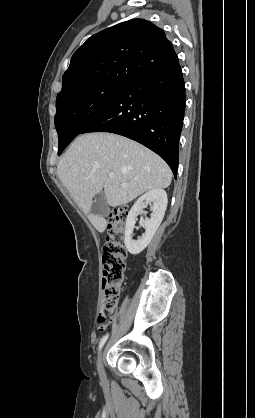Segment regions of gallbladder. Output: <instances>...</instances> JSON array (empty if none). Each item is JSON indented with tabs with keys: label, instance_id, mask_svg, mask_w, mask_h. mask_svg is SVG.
<instances>
[{
	"label": "gallbladder",
	"instance_id": "bac80fb5",
	"mask_svg": "<svg viewBox=\"0 0 255 418\" xmlns=\"http://www.w3.org/2000/svg\"><path fill=\"white\" fill-rule=\"evenodd\" d=\"M108 212V203L104 191L102 190L95 195L93 204L91 206V213L93 215L105 216Z\"/></svg>",
	"mask_w": 255,
	"mask_h": 418
}]
</instances>
